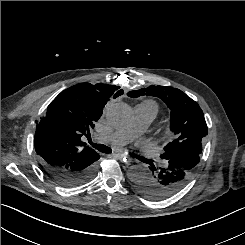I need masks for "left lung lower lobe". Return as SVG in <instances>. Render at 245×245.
Returning a JSON list of instances; mask_svg holds the SVG:
<instances>
[{"label":"left lung lower lobe","instance_id":"obj_1","mask_svg":"<svg viewBox=\"0 0 245 245\" xmlns=\"http://www.w3.org/2000/svg\"><path fill=\"white\" fill-rule=\"evenodd\" d=\"M199 161V154L182 153L166 160L164 167L151 165L152 174L139 180L136 189L152 200L169 198L184 188Z\"/></svg>","mask_w":245,"mask_h":245}]
</instances>
